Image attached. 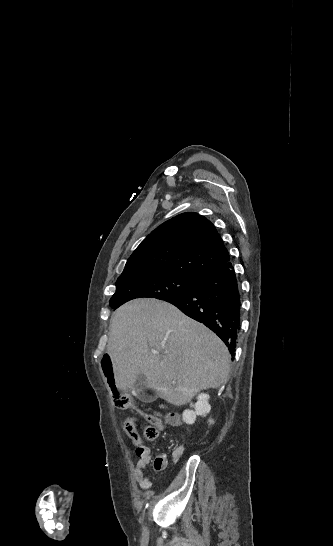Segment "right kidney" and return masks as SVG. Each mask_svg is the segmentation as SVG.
<instances>
[{"label": "right kidney", "instance_id": "ca27d5eb", "mask_svg": "<svg viewBox=\"0 0 333 546\" xmlns=\"http://www.w3.org/2000/svg\"><path fill=\"white\" fill-rule=\"evenodd\" d=\"M209 395L208 394H199L197 397L196 404H190L191 407H194V410L186 409L183 412V420L187 424H193L196 416H205L211 409V406L208 403Z\"/></svg>", "mask_w": 333, "mask_h": 546}]
</instances>
